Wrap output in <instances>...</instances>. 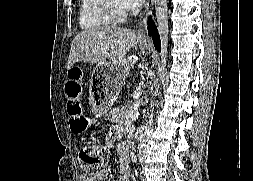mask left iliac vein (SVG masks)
Wrapping results in <instances>:
<instances>
[{
	"label": "left iliac vein",
	"mask_w": 253,
	"mask_h": 181,
	"mask_svg": "<svg viewBox=\"0 0 253 181\" xmlns=\"http://www.w3.org/2000/svg\"><path fill=\"white\" fill-rule=\"evenodd\" d=\"M141 181H146L144 172L141 173Z\"/></svg>",
	"instance_id": "1"
}]
</instances>
